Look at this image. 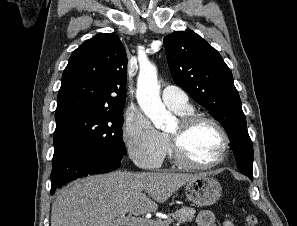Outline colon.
Returning <instances> with one entry per match:
<instances>
[{"mask_svg":"<svg viewBox=\"0 0 297 226\" xmlns=\"http://www.w3.org/2000/svg\"><path fill=\"white\" fill-rule=\"evenodd\" d=\"M246 226H257L258 218L254 214H248L245 216Z\"/></svg>","mask_w":297,"mask_h":226,"instance_id":"colon-1","label":"colon"}]
</instances>
